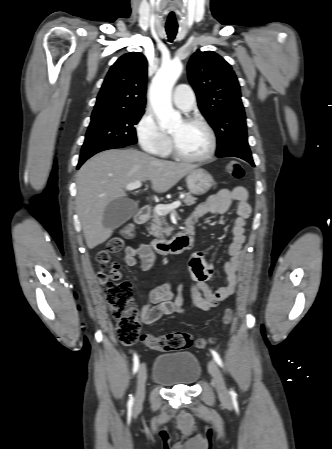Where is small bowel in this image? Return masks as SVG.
Returning a JSON list of instances; mask_svg holds the SVG:
<instances>
[{"label":"small bowel","instance_id":"1","mask_svg":"<svg viewBox=\"0 0 332 449\" xmlns=\"http://www.w3.org/2000/svg\"><path fill=\"white\" fill-rule=\"evenodd\" d=\"M232 205L236 206L237 217L232 228L233 241L229 248L231 259L225 265L226 283L213 290L207 281L213 273V266L206 260L203 253H194L189 261V278L191 281L190 295L191 307L207 311L235 292L238 282L237 273L242 266V246L245 242V229L247 219L251 214V206L248 203V193L243 187L232 190L222 189L212 195L206 201L200 203L190 221L194 223L206 214H223ZM140 261L143 271H151L156 265V254L148 244H140L137 247L125 248V263L128 267H135ZM121 277V271H120ZM100 279V278H99ZM101 282H103L100 279ZM183 298L174 296L167 283L153 287L141 308V321L143 324H152L163 316L173 313H183Z\"/></svg>","mask_w":332,"mask_h":449}]
</instances>
